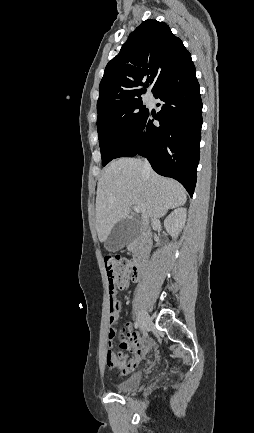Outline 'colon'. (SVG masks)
<instances>
[{"label": "colon", "mask_w": 254, "mask_h": 433, "mask_svg": "<svg viewBox=\"0 0 254 433\" xmlns=\"http://www.w3.org/2000/svg\"><path fill=\"white\" fill-rule=\"evenodd\" d=\"M104 265L109 282V296H111L116 286L126 287L129 285L132 268L127 259L120 256H106L104 258ZM110 303L111 307H115L117 302L113 300ZM112 317L116 318V315H112Z\"/></svg>", "instance_id": "1"}]
</instances>
